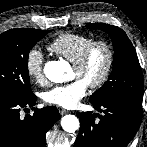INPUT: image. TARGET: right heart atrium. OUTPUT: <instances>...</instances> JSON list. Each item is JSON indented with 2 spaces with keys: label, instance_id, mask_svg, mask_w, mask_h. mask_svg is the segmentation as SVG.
Segmentation results:
<instances>
[{
  "label": "right heart atrium",
  "instance_id": "right-heart-atrium-1",
  "mask_svg": "<svg viewBox=\"0 0 147 147\" xmlns=\"http://www.w3.org/2000/svg\"><path fill=\"white\" fill-rule=\"evenodd\" d=\"M43 64L42 52L36 48L30 49L25 58V69L29 78L37 84L45 82Z\"/></svg>",
  "mask_w": 147,
  "mask_h": 147
}]
</instances>
